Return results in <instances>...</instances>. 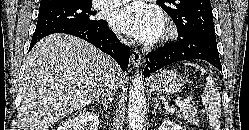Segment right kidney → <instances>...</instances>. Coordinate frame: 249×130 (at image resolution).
Instances as JSON below:
<instances>
[{"label":"right kidney","instance_id":"ca27d5eb","mask_svg":"<svg viewBox=\"0 0 249 130\" xmlns=\"http://www.w3.org/2000/svg\"><path fill=\"white\" fill-rule=\"evenodd\" d=\"M99 119L94 112H82L77 117L65 121L57 130H98Z\"/></svg>","mask_w":249,"mask_h":130}]
</instances>
